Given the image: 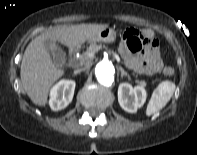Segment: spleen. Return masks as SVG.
I'll return each instance as SVG.
<instances>
[{
  "label": "spleen",
  "mask_w": 197,
  "mask_h": 155,
  "mask_svg": "<svg viewBox=\"0 0 197 155\" xmlns=\"http://www.w3.org/2000/svg\"><path fill=\"white\" fill-rule=\"evenodd\" d=\"M175 84L171 81H162L153 91L146 109V115L150 116L161 110L171 99Z\"/></svg>",
  "instance_id": "1"
}]
</instances>
